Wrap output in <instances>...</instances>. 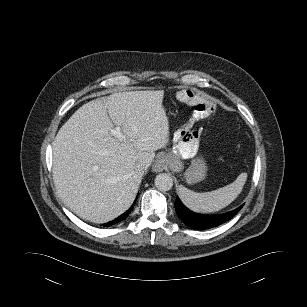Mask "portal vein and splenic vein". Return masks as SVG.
Listing matches in <instances>:
<instances>
[{"label": "portal vein and splenic vein", "instance_id": "1", "mask_svg": "<svg viewBox=\"0 0 307 307\" xmlns=\"http://www.w3.org/2000/svg\"><path fill=\"white\" fill-rule=\"evenodd\" d=\"M111 134L115 137H117L118 139H123L124 136L121 132V127L120 126H117L115 127L114 129L111 130Z\"/></svg>", "mask_w": 307, "mask_h": 307}]
</instances>
